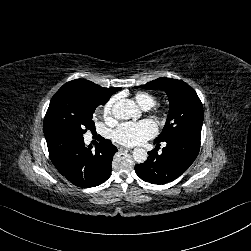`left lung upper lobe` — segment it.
Masks as SVG:
<instances>
[{"mask_svg": "<svg viewBox=\"0 0 251 251\" xmlns=\"http://www.w3.org/2000/svg\"><path fill=\"white\" fill-rule=\"evenodd\" d=\"M140 87L164 90L169 98L170 110L166 125L155 142H164L179 135L201 139L203 107L192 87L181 80L165 77L158 78Z\"/></svg>", "mask_w": 251, "mask_h": 251, "instance_id": "left-lung-upper-lobe-1", "label": "left lung upper lobe"}]
</instances>
